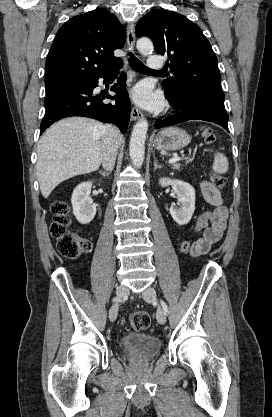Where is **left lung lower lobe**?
<instances>
[{
	"mask_svg": "<svg viewBox=\"0 0 272 417\" xmlns=\"http://www.w3.org/2000/svg\"><path fill=\"white\" fill-rule=\"evenodd\" d=\"M166 96L171 106L177 112L165 120H157L154 125L156 129L194 119L216 123L229 132L228 114L224 106L202 99L191 93H182L176 97H171L167 94Z\"/></svg>",
	"mask_w": 272,
	"mask_h": 417,
	"instance_id": "obj_1",
	"label": "left lung lower lobe"
}]
</instances>
